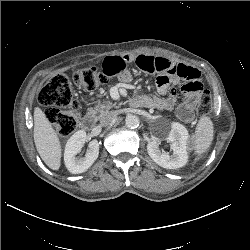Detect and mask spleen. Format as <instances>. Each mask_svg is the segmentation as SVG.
Segmentation results:
<instances>
[{
  "instance_id": "3e777b00",
  "label": "spleen",
  "mask_w": 250,
  "mask_h": 250,
  "mask_svg": "<svg viewBox=\"0 0 250 250\" xmlns=\"http://www.w3.org/2000/svg\"><path fill=\"white\" fill-rule=\"evenodd\" d=\"M213 122L207 116L198 121L194 135V151L197 155L204 153L213 140Z\"/></svg>"
}]
</instances>
